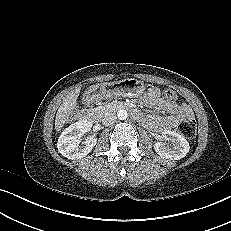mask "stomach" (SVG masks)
<instances>
[{
    "label": "stomach",
    "mask_w": 231,
    "mask_h": 231,
    "mask_svg": "<svg viewBox=\"0 0 231 231\" xmlns=\"http://www.w3.org/2000/svg\"><path fill=\"white\" fill-rule=\"evenodd\" d=\"M146 86L143 82L128 78L117 82H112L109 86V92L121 96H141L145 92Z\"/></svg>",
    "instance_id": "obj_1"
}]
</instances>
